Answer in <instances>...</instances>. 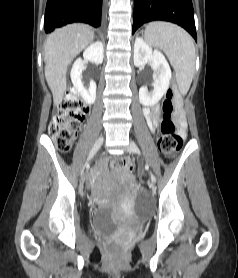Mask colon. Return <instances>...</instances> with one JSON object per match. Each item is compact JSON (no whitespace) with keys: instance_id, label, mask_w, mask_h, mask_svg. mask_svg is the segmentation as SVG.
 I'll return each mask as SVG.
<instances>
[{"instance_id":"5ec220e1","label":"colon","mask_w":238,"mask_h":278,"mask_svg":"<svg viewBox=\"0 0 238 278\" xmlns=\"http://www.w3.org/2000/svg\"><path fill=\"white\" fill-rule=\"evenodd\" d=\"M174 100L175 92L169 88L162 102L163 120L158 138L159 149L165 156L175 154L182 146V138L177 132L173 118ZM87 113L88 107L79 95L74 90L67 91L59 105L58 114L49 125V134L59 150L65 152L71 148ZM111 167L115 172L128 174L134 165L130 159L122 158L114 159Z\"/></svg>"}]
</instances>
